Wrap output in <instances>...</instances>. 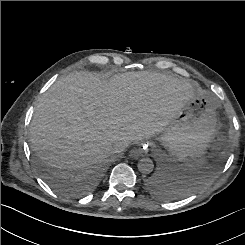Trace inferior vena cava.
<instances>
[{
    "label": "inferior vena cava",
    "mask_w": 245,
    "mask_h": 245,
    "mask_svg": "<svg viewBox=\"0 0 245 245\" xmlns=\"http://www.w3.org/2000/svg\"><path fill=\"white\" fill-rule=\"evenodd\" d=\"M127 146L128 143L126 141L118 142L112 147V150L114 153H121L125 150Z\"/></svg>",
    "instance_id": "inferior-vena-cava-1"
}]
</instances>
